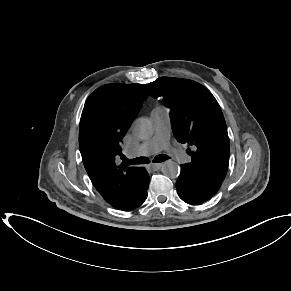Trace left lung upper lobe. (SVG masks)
<instances>
[{"label":"left lung upper lobe","instance_id":"1","mask_svg":"<svg viewBox=\"0 0 291 291\" xmlns=\"http://www.w3.org/2000/svg\"><path fill=\"white\" fill-rule=\"evenodd\" d=\"M153 98L162 97L169 107L173 133L178 142L191 149L188 167L223 182L229 163L230 144L226 122L212 93L203 85L187 79L161 77L151 82Z\"/></svg>","mask_w":291,"mask_h":291}]
</instances>
